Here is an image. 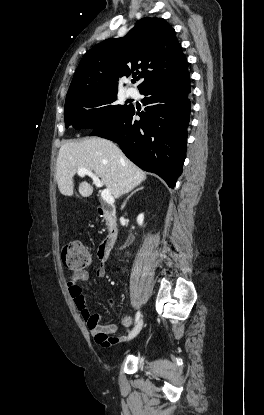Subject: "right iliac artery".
<instances>
[{
  "label": "right iliac artery",
  "mask_w": 264,
  "mask_h": 415,
  "mask_svg": "<svg viewBox=\"0 0 264 415\" xmlns=\"http://www.w3.org/2000/svg\"><path fill=\"white\" fill-rule=\"evenodd\" d=\"M140 317H141V313L140 311H138L135 315V324L139 321Z\"/></svg>",
  "instance_id": "right-iliac-artery-1"
}]
</instances>
